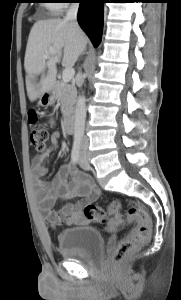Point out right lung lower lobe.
Here are the masks:
<instances>
[{"instance_id": "obj_1", "label": "right lung lower lobe", "mask_w": 181, "mask_h": 300, "mask_svg": "<svg viewBox=\"0 0 181 300\" xmlns=\"http://www.w3.org/2000/svg\"><path fill=\"white\" fill-rule=\"evenodd\" d=\"M80 3L78 22L95 47L101 40L105 0H77Z\"/></svg>"}]
</instances>
